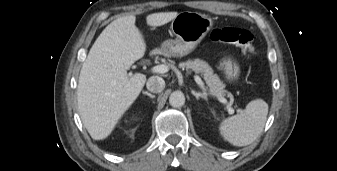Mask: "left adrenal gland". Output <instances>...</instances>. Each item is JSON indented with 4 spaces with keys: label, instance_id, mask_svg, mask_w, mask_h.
<instances>
[{
    "label": "left adrenal gland",
    "instance_id": "1",
    "mask_svg": "<svg viewBox=\"0 0 337 171\" xmlns=\"http://www.w3.org/2000/svg\"><path fill=\"white\" fill-rule=\"evenodd\" d=\"M191 92L196 97L197 100H199V98H202L207 101V96L204 93H199L194 90H192Z\"/></svg>",
    "mask_w": 337,
    "mask_h": 171
}]
</instances>
